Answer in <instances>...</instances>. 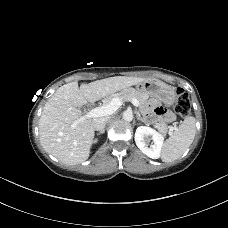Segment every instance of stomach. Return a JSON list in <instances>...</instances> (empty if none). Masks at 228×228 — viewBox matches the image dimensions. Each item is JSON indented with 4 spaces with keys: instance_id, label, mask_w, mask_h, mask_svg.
<instances>
[{
    "instance_id": "stomach-1",
    "label": "stomach",
    "mask_w": 228,
    "mask_h": 228,
    "mask_svg": "<svg viewBox=\"0 0 228 228\" xmlns=\"http://www.w3.org/2000/svg\"><path fill=\"white\" fill-rule=\"evenodd\" d=\"M137 89L167 105H172L176 100L174 89L158 79H146L137 84Z\"/></svg>"
}]
</instances>
